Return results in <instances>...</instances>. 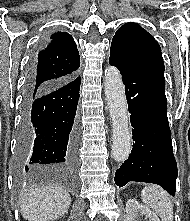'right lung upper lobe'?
Here are the masks:
<instances>
[{"mask_svg": "<svg viewBox=\"0 0 190 221\" xmlns=\"http://www.w3.org/2000/svg\"><path fill=\"white\" fill-rule=\"evenodd\" d=\"M79 66V52L72 36L66 32L54 33L33 63L29 76L32 88L38 90L67 82L76 77Z\"/></svg>", "mask_w": 190, "mask_h": 221, "instance_id": "cb5924a9", "label": "right lung upper lobe"}]
</instances>
